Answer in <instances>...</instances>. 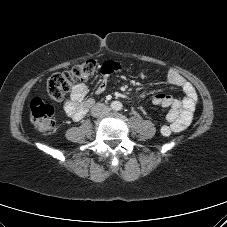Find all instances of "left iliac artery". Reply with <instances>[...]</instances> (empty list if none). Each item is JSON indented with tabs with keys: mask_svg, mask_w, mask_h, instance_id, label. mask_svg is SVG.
I'll return each mask as SVG.
<instances>
[{
	"mask_svg": "<svg viewBox=\"0 0 227 227\" xmlns=\"http://www.w3.org/2000/svg\"><path fill=\"white\" fill-rule=\"evenodd\" d=\"M117 110H121V105H118Z\"/></svg>",
	"mask_w": 227,
	"mask_h": 227,
	"instance_id": "1",
	"label": "left iliac artery"
}]
</instances>
